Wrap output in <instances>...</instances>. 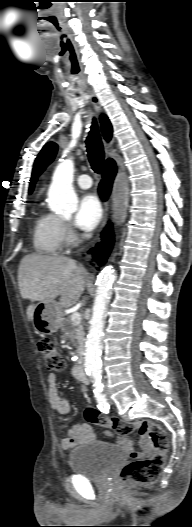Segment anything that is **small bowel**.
I'll return each mask as SVG.
<instances>
[{
  "label": "small bowel",
  "instance_id": "1",
  "mask_svg": "<svg viewBox=\"0 0 192 527\" xmlns=\"http://www.w3.org/2000/svg\"><path fill=\"white\" fill-rule=\"evenodd\" d=\"M48 398L51 408L61 415H67L71 411V402L69 399L61 397L58 391L56 375L51 373L47 377ZM141 434L142 451L137 452L133 449V444L129 438L122 435L118 444L130 451L129 457H142L149 455L153 451V446L146 436V431L139 430ZM105 435L110 437L112 432L105 431ZM95 440V434L89 424H74L68 428L65 435L61 438L60 444L62 449L67 450L78 445L90 443Z\"/></svg>",
  "mask_w": 192,
  "mask_h": 527
}]
</instances>
